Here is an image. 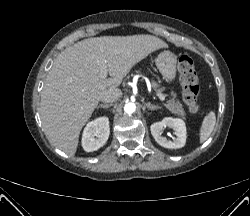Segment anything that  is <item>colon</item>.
<instances>
[{
  "label": "colon",
  "mask_w": 250,
  "mask_h": 216,
  "mask_svg": "<svg viewBox=\"0 0 250 216\" xmlns=\"http://www.w3.org/2000/svg\"><path fill=\"white\" fill-rule=\"evenodd\" d=\"M178 70L183 100L189 111L196 113L199 110L198 97L200 86L192 58L188 55H182L178 61Z\"/></svg>",
  "instance_id": "1"
}]
</instances>
